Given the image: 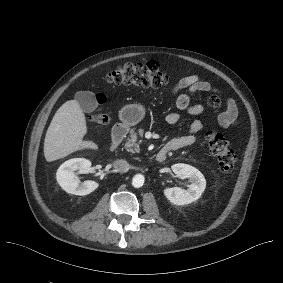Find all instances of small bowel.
<instances>
[{
  "mask_svg": "<svg viewBox=\"0 0 283 283\" xmlns=\"http://www.w3.org/2000/svg\"><path fill=\"white\" fill-rule=\"evenodd\" d=\"M213 91L218 93V89L211 83L203 80L199 75L187 73L178 80L171 90L172 102L178 111H172L166 115V122L174 125L179 122L181 115L179 111H185L190 115L198 116L204 112L202 105H191V97L197 92ZM238 119V109L234 100L228 99L226 109L218 117V124L222 128L234 126ZM204 125L200 120H194L188 126L187 131L172 138L166 145L169 150H177L183 147L194 145L197 141L195 134L202 131Z\"/></svg>",
  "mask_w": 283,
  "mask_h": 283,
  "instance_id": "1",
  "label": "small bowel"
}]
</instances>
